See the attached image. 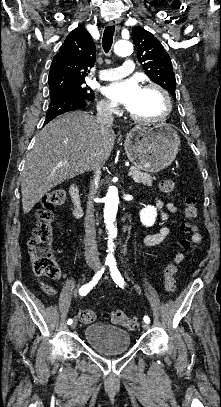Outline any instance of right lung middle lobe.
Segmentation results:
<instances>
[{
    "instance_id": "1",
    "label": "right lung middle lobe",
    "mask_w": 221,
    "mask_h": 407,
    "mask_svg": "<svg viewBox=\"0 0 221 407\" xmlns=\"http://www.w3.org/2000/svg\"><path fill=\"white\" fill-rule=\"evenodd\" d=\"M85 82L70 84L61 88L50 90L51 100L62 97H81L85 99H94L93 91L84 85Z\"/></svg>"
}]
</instances>
